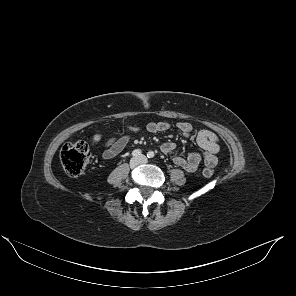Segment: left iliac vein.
Returning a JSON list of instances; mask_svg holds the SVG:
<instances>
[{
  "instance_id": "obj_1",
  "label": "left iliac vein",
  "mask_w": 296,
  "mask_h": 296,
  "mask_svg": "<svg viewBox=\"0 0 296 296\" xmlns=\"http://www.w3.org/2000/svg\"><path fill=\"white\" fill-rule=\"evenodd\" d=\"M139 159H140L141 163H145V162L147 161L146 157L143 156V155H141V156L139 157Z\"/></svg>"
}]
</instances>
